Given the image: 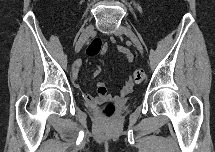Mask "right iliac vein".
Returning <instances> with one entry per match:
<instances>
[{
	"label": "right iliac vein",
	"mask_w": 215,
	"mask_h": 152,
	"mask_svg": "<svg viewBox=\"0 0 215 152\" xmlns=\"http://www.w3.org/2000/svg\"><path fill=\"white\" fill-rule=\"evenodd\" d=\"M94 27L92 25L87 26L81 33L76 45H75V51L78 53L85 42L89 39V37L93 34Z\"/></svg>",
	"instance_id": "obj_1"
}]
</instances>
